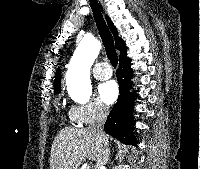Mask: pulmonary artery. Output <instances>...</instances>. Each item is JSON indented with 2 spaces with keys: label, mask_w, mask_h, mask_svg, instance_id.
<instances>
[{
  "label": "pulmonary artery",
  "mask_w": 200,
  "mask_h": 169,
  "mask_svg": "<svg viewBox=\"0 0 200 169\" xmlns=\"http://www.w3.org/2000/svg\"><path fill=\"white\" fill-rule=\"evenodd\" d=\"M93 74L99 80H106L112 76V70L106 62H99L94 66Z\"/></svg>",
  "instance_id": "1"
}]
</instances>
